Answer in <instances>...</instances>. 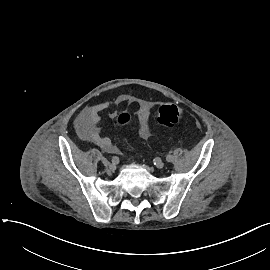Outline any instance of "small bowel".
<instances>
[{
  "label": "small bowel",
  "instance_id": "obj_1",
  "mask_svg": "<svg viewBox=\"0 0 270 270\" xmlns=\"http://www.w3.org/2000/svg\"><path fill=\"white\" fill-rule=\"evenodd\" d=\"M116 105L125 108L131 104V100L127 96H119ZM109 101H101L85 108L76 120V128L82 140L92 142L106 152H114L116 150L112 141L100 133L98 124L100 122V114L110 108ZM109 117L115 118L116 111H110ZM138 134L141 138L146 139L150 135V105L144 101L139 104L138 111Z\"/></svg>",
  "mask_w": 270,
  "mask_h": 270
}]
</instances>
